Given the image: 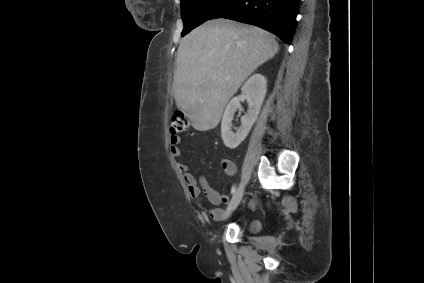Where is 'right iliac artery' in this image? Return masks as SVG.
I'll return each instance as SVG.
<instances>
[{"mask_svg": "<svg viewBox=\"0 0 424 283\" xmlns=\"http://www.w3.org/2000/svg\"><path fill=\"white\" fill-rule=\"evenodd\" d=\"M235 191H236V186L234 185L231 189V194L233 195L235 193Z\"/></svg>", "mask_w": 424, "mask_h": 283, "instance_id": "1", "label": "right iliac artery"}]
</instances>
